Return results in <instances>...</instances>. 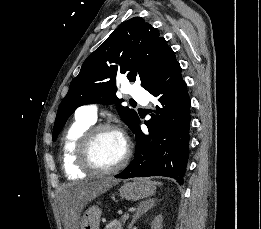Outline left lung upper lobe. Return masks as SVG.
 Here are the masks:
<instances>
[{
  "instance_id": "obj_1",
  "label": "left lung upper lobe",
  "mask_w": 261,
  "mask_h": 229,
  "mask_svg": "<svg viewBox=\"0 0 261 229\" xmlns=\"http://www.w3.org/2000/svg\"><path fill=\"white\" fill-rule=\"evenodd\" d=\"M177 63L175 52L158 30L141 17L125 21L86 58L78 76L71 81L57 111L53 141L69 116L88 103H117L121 119L133 130L138 115L120 105L123 100L116 96V77L124 75L132 82L139 79L147 89Z\"/></svg>"
}]
</instances>
